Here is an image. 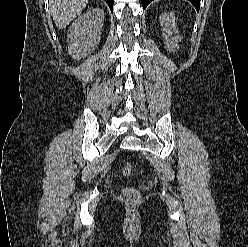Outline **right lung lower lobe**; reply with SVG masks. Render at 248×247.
Instances as JSON below:
<instances>
[{
    "label": "right lung lower lobe",
    "mask_w": 248,
    "mask_h": 247,
    "mask_svg": "<svg viewBox=\"0 0 248 247\" xmlns=\"http://www.w3.org/2000/svg\"><path fill=\"white\" fill-rule=\"evenodd\" d=\"M109 6V8L111 9V11L113 10V0H105Z\"/></svg>",
    "instance_id": "right-lung-lower-lobe-1"
}]
</instances>
